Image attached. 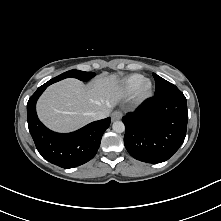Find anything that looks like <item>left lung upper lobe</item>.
<instances>
[{
	"instance_id": "5c2ea615",
	"label": "left lung upper lobe",
	"mask_w": 221,
	"mask_h": 221,
	"mask_svg": "<svg viewBox=\"0 0 221 221\" xmlns=\"http://www.w3.org/2000/svg\"><path fill=\"white\" fill-rule=\"evenodd\" d=\"M153 77L155 78L156 82V90L155 95H163L172 92H179L180 90L173 85L172 83L168 82L167 80L161 78L160 76L153 73Z\"/></svg>"
}]
</instances>
